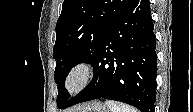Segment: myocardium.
I'll return each instance as SVG.
<instances>
[{
	"label": "myocardium",
	"instance_id": "f54148a6",
	"mask_svg": "<svg viewBox=\"0 0 193 112\" xmlns=\"http://www.w3.org/2000/svg\"><path fill=\"white\" fill-rule=\"evenodd\" d=\"M94 74L92 64L87 60L76 62L67 73L65 88L69 94L82 92L91 82Z\"/></svg>",
	"mask_w": 193,
	"mask_h": 112
}]
</instances>
